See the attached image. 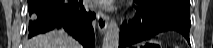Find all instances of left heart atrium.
I'll list each match as a JSON object with an SVG mask.
<instances>
[{"label":"left heart atrium","instance_id":"left-heart-atrium-1","mask_svg":"<svg viewBox=\"0 0 213 48\" xmlns=\"http://www.w3.org/2000/svg\"><path fill=\"white\" fill-rule=\"evenodd\" d=\"M114 3L115 2L113 0H99L94 2L97 7L104 10H112Z\"/></svg>","mask_w":213,"mask_h":48}]
</instances>
